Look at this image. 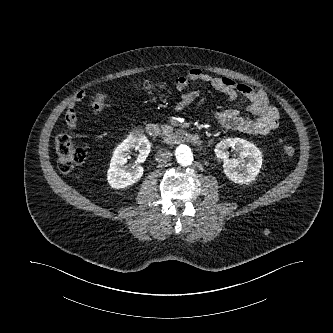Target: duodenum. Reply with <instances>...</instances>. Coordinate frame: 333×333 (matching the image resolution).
Segmentation results:
<instances>
[{
	"label": "duodenum",
	"mask_w": 333,
	"mask_h": 333,
	"mask_svg": "<svg viewBox=\"0 0 333 333\" xmlns=\"http://www.w3.org/2000/svg\"><path fill=\"white\" fill-rule=\"evenodd\" d=\"M147 134L152 138L162 139L168 144H177L187 142L192 144H200L201 139L198 135L185 130H164L158 125L150 124L147 126Z\"/></svg>",
	"instance_id": "obj_1"
}]
</instances>
